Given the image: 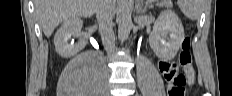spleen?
<instances>
[{
    "label": "spleen",
    "instance_id": "1",
    "mask_svg": "<svg viewBox=\"0 0 232 96\" xmlns=\"http://www.w3.org/2000/svg\"><path fill=\"white\" fill-rule=\"evenodd\" d=\"M177 4L182 13L191 20H198L202 13L201 0H178Z\"/></svg>",
    "mask_w": 232,
    "mask_h": 96
}]
</instances>
